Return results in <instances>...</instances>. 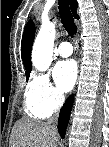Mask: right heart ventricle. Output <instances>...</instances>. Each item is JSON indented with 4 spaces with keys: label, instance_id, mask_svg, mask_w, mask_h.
I'll list each match as a JSON object with an SVG mask.
<instances>
[{
    "label": "right heart ventricle",
    "instance_id": "1",
    "mask_svg": "<svg viewBox=\"0 0 109 147\" xmlns=\"http://www.w3.org/2000/svg\"><path fill=\"white\" fill-rule=\"evenodd\" d=\"M25 105H26L27 112L33 117L44 118L48 116L36 104L32 103L28 99L26 100Z\"/></svg>",
    "mask_w": 109,
    "mask_h": 147
}]
</instances>
